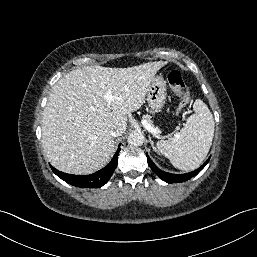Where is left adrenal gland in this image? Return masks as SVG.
Listing matches in <instances>:
<instances>
[{
	"label": "left adrenal gland",
	"instance_id": "a2214340",
	"mask_svg": "<svg viewBox=\"0 0 257 257\" xmlns=\"http://www.w3.org/2000/svg\"><path fill=\"white\" fill-rule=\"evenodd\" d=\"M149 142H150V144H151L153 150L156 151V147L154 146V143H153V141H152L150 135H149Z\"/></svg>",
	"mask_w": 257,
	"mask_h": 257
}]
</instances>
